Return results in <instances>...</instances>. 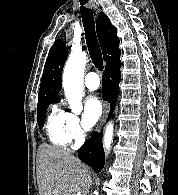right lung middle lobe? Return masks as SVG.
<instances>
[{"instance_id": "1", "label": "right lung middle lobe", "mask_w": 178, "mask_h": 195, "mask_svg": "<svg viewBox=\"0 0 178 195\" xmlns=\"http://www.w3.org/2000/svg\"><path fill=\"white\" fill-rule=\"evenodd\" d=\"M51 101L37 105V122L40 128L43 127L44 116Z\"/></svg>"}]
</instances>
